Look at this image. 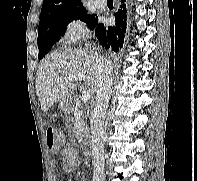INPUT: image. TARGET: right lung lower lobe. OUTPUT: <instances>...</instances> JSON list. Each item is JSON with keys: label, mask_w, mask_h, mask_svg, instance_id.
Here are the masks:
<instances>
[{"label": "right lung lower lobe", "mask_w": 197, "mask_h": 181, "mask_svg": "<svg viewBox=\"0 0 197 181\" xmlns=\"http://www.w3.org/2000/svg\"><path fill=\"white\" fill-rule=\"evenodd\" d=\"M120 2V9L115 13V25L106 27L102 23H97L94 27L100 44L106 49L112 48L115 52L122 47L127 28L126 0H120Z\"/></svg>", "instance_id": "98d812e1"}]
</instances>
